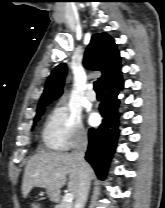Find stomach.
Returning a JSON list of instances; mask_svg holds the SVG:
<instances>
[{
	"instance_id": "1",
	"label": "stomach",
	"mask_w": 165,
	"mask_h": 208,
	"mask_svg": "<svg viewBox=\"0 0 165 208\" xmlns=\"http://www.w3.org/2000/svg\"><path fill=\"white\" fill-rule=\"evenodd\" d=\"M47 195L53 201L59 198V193L57 191L47 190Z\"/></svg>"
}]
</instances>
